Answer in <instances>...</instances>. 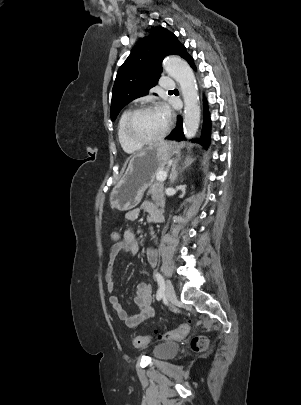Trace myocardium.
Here are the masks:
<instances>
[{"mask_svg": "<svg viewBox=\"0 0 301 405\" xmlns=\"http://www.w3.org/2000/svg\"><path fill=\"white\" fill-rule=\"evenodd\" d=\"M153 109H155V108L151 105H142V106L137 107L134 110L130 111L129 114L127 115L125 124H124V133H125L126 138L131 143H133L137 146L150 145V144H153V143H156V142L162 140L168 134V132L171 128V121L169 119H167L166 126L164 127L162 132L153 138L142 139L133 134L132 123H133L135 117L142 112H145L148 110H153Z\"/></svg>", "mask_w": 301, "mask_h": 405, "instance_id": "myocardium-1", "label": "myocardium"}]
</instances>
